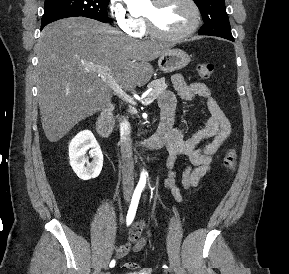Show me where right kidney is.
Masks as SVG:
<instances>
[{"label":"right kidney","instance_id":"1","mask_svg":"<svg viewBox=\"0 0 289 274\" xmlns=\"http://www.w3.org/2000/svg\"><path fill=\"white\" fill-rule=\"evenodd\" d=\"M88 151L92 158L91 163H88ZM69 159L73 171L80 179L90 180L99 176L103 166V154L91 131H81L71 140Z\"/></svg>","mask_w":289,"mask_h":274}]
</instances>
